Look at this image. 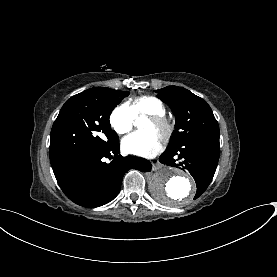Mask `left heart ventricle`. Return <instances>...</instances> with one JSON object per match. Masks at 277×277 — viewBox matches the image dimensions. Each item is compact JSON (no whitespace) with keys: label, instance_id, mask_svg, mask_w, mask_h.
<instances>
[{"label":"left heart ventricle","instance_id":"b2bd125f","mask_svg":"<svg viewBox=\"0 0 277 277\" xmlns=\"http://www.w3.org/2000/svg\"><path fill=\"white\" fill-rule=\"evenodd\" d=\"M142 131H147V132H153L155 134H159L161 129L160 127L155 124L150 118H147L146 121L143 123L141 127Z\"/></svg>","mask_w":277,"mask_h":277}]
</instances>
